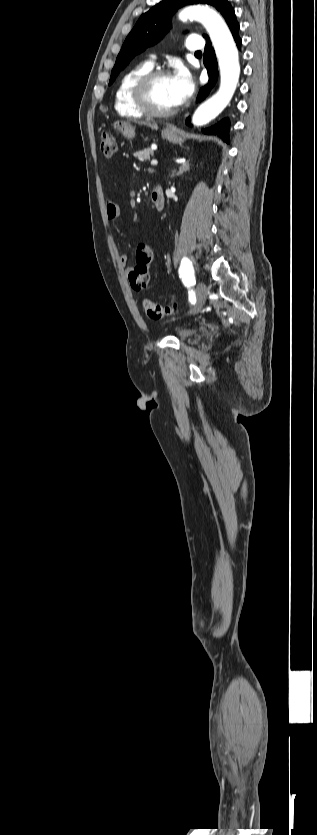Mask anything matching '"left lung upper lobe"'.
<instances>
[{
	"label": "left lung upper lobe",
	"instance_id": "5c2ea615",
	"mask_svg": "<svg viewBox=\"0 0 317 835\" xmlns=\"http://www.w3.org/2000/svg\"><path fill=\"white\" fill-rule=\"evenodd\" d=\"M198 3L214 6L224 18L232 8L227 0H165L155 5L139 18L127 36L111 72L109 85L134 56L157 43L167 33L171 27V17L178 8Z\"/></svg>",
	"mask_w": 317,
	"mask_h": 835
}]
</instances>
